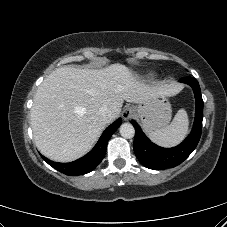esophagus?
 <instances>
[{
  "label": "esophagus",
  "mask_w": 227,
  "mask_h": 227,
  "mask_svg": "<svg viewBox=\"0 0 227 227\" xmlns=\"http://www.w3.org/2000/svg\"><path fill=\"white\" fill-rule=\"evenodd\" d=\"M134 115V109L132 107H126L122 112V117L124 120H129Z\"/></svg>",
  "instance_id": "1"
}]
</instances>
